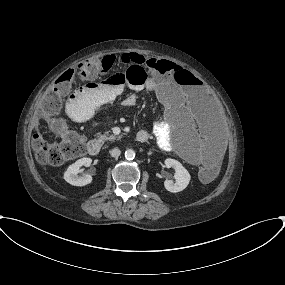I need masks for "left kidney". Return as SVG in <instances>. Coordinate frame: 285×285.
<instances>
[{
	"label": "left kidney",
	"instance_id": "1",
	"mask_svg": "<svg viewBox=\"0 0 285 285\" xmlns=\"http://www.w3.org/2000/svg\"><path fill=\"white\" fill-rule=\"evenodd\" d=\"M165 165L167 168H173L175 170V182L172 180L164 181L166 190L173 193L184 190L189 185L191 179L189 172L175 159L167 158L165 160Z\"/></svg>",
	"mask_w": 285,
	"mask_h": 285
}]
</instances>
